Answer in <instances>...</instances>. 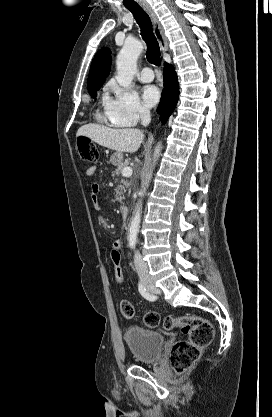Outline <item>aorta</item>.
Returning <instances> with one entry per match:
<instances>
[{"label": "aorta", "mask_w": 272, "mask_h": 417, "mask_svg": "<svg viewBox=\"0 0 272 417\" xmlns=\"http://www.w3.org/2000/svg\"><path fill=\"white\" fill-rule=\"evenodd\" d=\"M143 50L142 42L138 40H126L124 46L117 55L116 60V69L117 76L116 80L118 84L124 88H129L132 83L134 74L137 69V59L140 56ZM161 151V144L159 143L155 148L153 155V166L157 161ZM152 166V168H153ZM152 177V170L148 173L146 181L142 190L140 191L141 195H144L146 188L148 187L149 181ZM141 210L142 205L138 204L135 210L134 216L131 219L130 227L128 231V245L131 249H134L137 242V234L139 231V225L141 221Z\"/></svg>", "instance_id": "762f6f07"}]
</instances>
